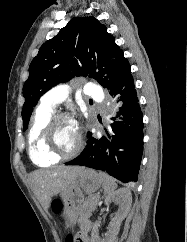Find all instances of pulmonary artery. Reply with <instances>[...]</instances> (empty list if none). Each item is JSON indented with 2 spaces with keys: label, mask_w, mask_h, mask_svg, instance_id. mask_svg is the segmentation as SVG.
Returning <instances> with one entry per match:
<instances>
[{
  "label": "pulmonary artery",
  "mask_w": 187,
  "mask_h": 242,
  "mask_svg": "<svg viewBox=\"0 0 187 242\" xmlns=\"http://www.w3.org/2000/svg\"><path fill=\"white\" fill-rule=\"evenodd\" d=\"M85 89H86V94L91 98L95 99L100 96V93H101L100 87L93 83L86 84ZM67 94H68L67 86L59 85L57 87H54L42 97V104L54 108L67 97Z\"/></svg>",
  "instance_id": "obj_1"
}]
</instances>
